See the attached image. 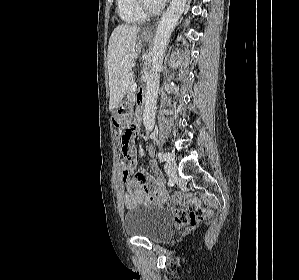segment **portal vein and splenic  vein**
Masks as SVG:
<instances>
[{"mask_svg": "<svg viewBox=\"0 0 299 280\" xmlns=\"http://www.w3.org/2000/svg\"><path fill=\"white\" fill-rule=\"evenodd\" d=\"M136 88H137V83H136V82H133V83L131 84V91H135Z\"/></svg>", "mask_w": 299, "mask_h": 280, "instance_id": "1", "label": "portal vein and splenic vein"}]
</instances>
